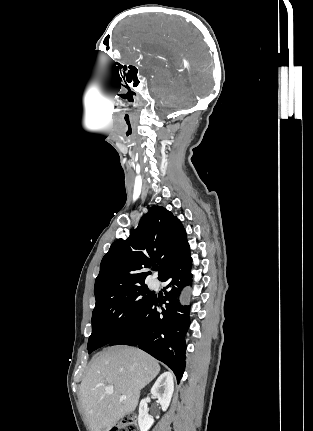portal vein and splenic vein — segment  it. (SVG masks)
<instances>
[{
	"label": "portal vein and splenic vein",
	"instance_id": "obj_1",
	"mask_svg": "<svg viewBox=\"0 0 313 431\" xmlns=\"http://www.w3.org/2000/svg\"><path fill=\"white\" fill-rule=\"evenodd\" d=\"M105 391L108 394H113L114 390L112 387H105ZM122 399H126V396H121Z\"/></svg>",
	"mask_w": 313,
	"mask_h": 431
}]
</instances>
